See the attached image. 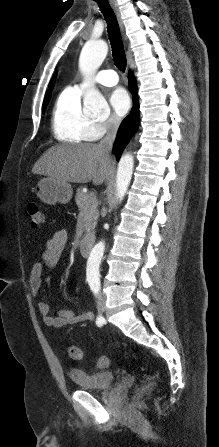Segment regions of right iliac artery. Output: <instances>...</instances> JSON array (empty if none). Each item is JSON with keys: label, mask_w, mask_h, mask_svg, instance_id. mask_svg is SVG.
<instances>
[{"label": "right iliac artery", "mask_w": 219, "mask_h": 447, "mask_svg": "<svg viewBox=\"0 0 219 447\" xmlns=\"http://www.w3.org/2000/svg\"><path fill=\"white\" fill-rule=\"evenodd\" d=\"M103 322H104V318L99 315L96 320L97 326H101L103 324Z\"/></svg>", "instance_id": "1"}]
</instances>
